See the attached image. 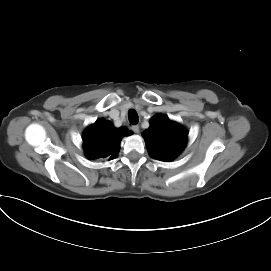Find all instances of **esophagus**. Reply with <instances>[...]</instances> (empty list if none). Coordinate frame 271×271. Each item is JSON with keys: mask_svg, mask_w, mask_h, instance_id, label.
<instances>
[{"mask_svg": "<svg viewBox=\"0 0 271 271\" xmlns=\"http://www.w3.org/2000/svg\"><path fill=\"white\" fill-rule=\"evenodd\" d=\"M132 130H133L135 133H139L140 128H139L138 125H133V126H132Z\"/></svg>", "mask_w": 271, "mask_h": 271, "instance_id": "34e87169", "label": "esophagus"}]
</instances>
